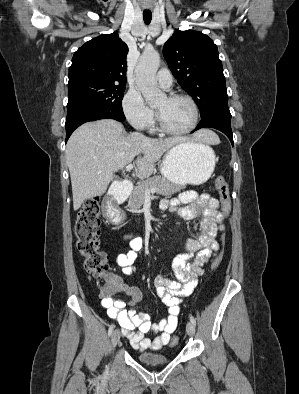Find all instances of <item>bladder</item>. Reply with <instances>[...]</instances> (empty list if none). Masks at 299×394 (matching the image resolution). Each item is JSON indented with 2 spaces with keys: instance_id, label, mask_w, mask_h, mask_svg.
Listing matches in <instances>:
<instances>
[{
  "instance_id": "1",
  "label": "bladder",
  "mask_w": 299,
  "mask_h": 394,
  "mask_svg": "<svg viewBox=\"0 0 299 394\" xmlns=\"http://www.w3.org/2000/svg\"><path fill=\"white\" fill-rule=\"evenodd\" d=\"M137 359L139 363L147 367L162 366L169 362V358L167 356L149 352L138 354Z\"/></svg>"
}]
</instances>
